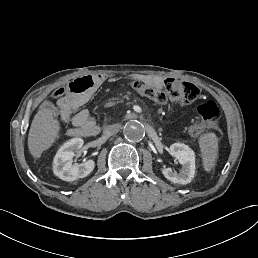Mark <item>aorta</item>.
<instances>
[{
    "label": "aorta",
    "instance_id": "obj_1",
    "mask_svg": "<svg viewBox=\"0 0 258 258\" xmlns=\"http://www.w3.org/2000/svg\"><path fill=\"white\" fill-rule=\"evenodd\" d=\"M123 134L128 141L140 142L145 136L144 126L139 121L131 120L125 124Z\"/></svg>",
    "mask_w": 258,
    "mask_h": 258
}]
</instances>
